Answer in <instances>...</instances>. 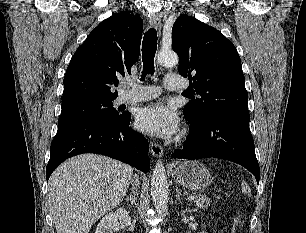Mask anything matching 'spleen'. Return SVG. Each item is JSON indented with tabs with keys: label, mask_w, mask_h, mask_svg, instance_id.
Returning <instances> with one entry per match:
<instances>
[{
	"label": "spleen",
	"mask_w": 306,
	"mask_h": 233,
	"mask_svg": "<svg viewBox=\"0 0 306 233\" xmlns=\"http://www.w3.org/2000/svg\"><path fill=\"white\" fill-rule=\"evenodd\" d=\"M241 187H242V192H243L244 194H247L248 196H251L250 187L247 185L246 182L242 181Z\"/></svg>",
	"instance_id": "1"
}]
</instances>
